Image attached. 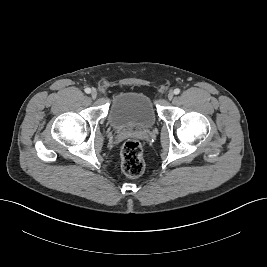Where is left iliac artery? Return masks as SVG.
<instances>
[{"instance_id": "1", "label": "left iliac artery", "mask_w": 267, "mask_h": 267, "mask_svg": "<svg viewBox=\"0 0 267 267\" xmlns=\"http://www.w3.org/2000/svg\"><path fill=\"white\" fill-rule=\"evenodd\" d=\"M180 93V89L179 88H176L175 90H174V94H179Z\"/></svg>"}]
</instances>
